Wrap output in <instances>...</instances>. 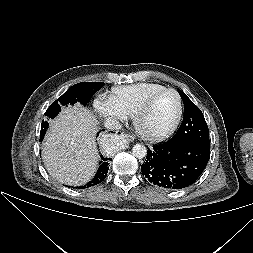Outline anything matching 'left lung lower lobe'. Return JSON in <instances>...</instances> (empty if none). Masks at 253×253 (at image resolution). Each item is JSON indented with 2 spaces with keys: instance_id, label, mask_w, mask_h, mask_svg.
Returning <instances> with one entry per match:
<instances>
[{
  "instance_id": "0a47b994",
  "label": "left lung lower lobe",
  "mask_w": 253,
  "mask_h": 253,
  "mask_svg": "<svg viewBox=\"0 0 253 253\" xmlns=\"http://www.w3.org/2000/svg\"><path fill=\"white\" fill-rule=\"evenodd\" d=\"M209 158L208 148L192 142L168 140L148 149L141 171L159 187L182 189L200 177Z\"/></svg>"
}]
</instances>
